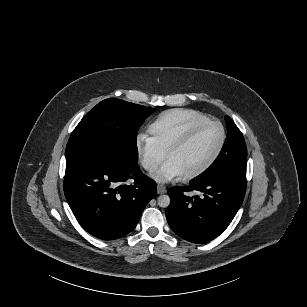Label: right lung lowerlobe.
Segmentation results:
<instances>
[{"mask_svg":"<svg viewBox=\"0 0 307 307\" xmlns=\"http://www.w3.org/2000/svg\"><path fill=\"white\" fill-rule=\"evenodd\" d=\"M134 179L132 185H119ZM66 200L80 225L91 235L113 240L131 232L156 183L132 166L105 154H87L66 160Z\"/></svg>","mask_w":307,"mask_h":307,"instance_id":"98d812e1","label":"right lung lower lobe"}]
</instances>
